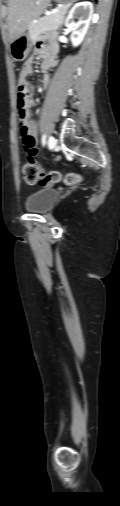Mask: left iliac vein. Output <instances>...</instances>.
Wrapping results in <instances>:
<instances>
[{
	"instance_id": "4c4485c4",
	"label": "left iliac vein",
	"mask_w": 120,
	"mask_h": 506,
	"mask_svg": "<svg viewBox=\"0 0 120 506\" xmlns=\"http://www.w3.org/2000/svg\"><path fill=\"white\" fill-rule=\"evenodd\" d=\"M56 143H57V141H56L55 137L50 136L48 138V145H49L50 149L54 148L56 146Z\"/></svg>"
}]
</instances>
